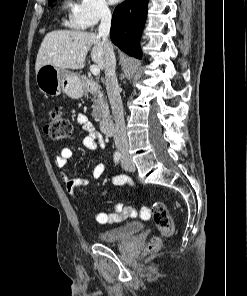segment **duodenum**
<instances>
[{
    "label": "duodenum",
    "mask_w": 247,
    "mask_h": 296,
    "mask_svg": "<svg viewBox=\"0 0 247 296\" xmlns=\"http://www.w3.org/2000/svg\"><path fill=\"white\" fill-rule=\"evenodd\" d=\"M85 88L88 91H96L99 89V85L97 82L92 80H87L85 82ZM100 130L103 134L110 135L113 132L114 121L110 116L104 117L99 122Z\"/></svg>",
    "instance_id": "410a0bca"
}]
</instances>
